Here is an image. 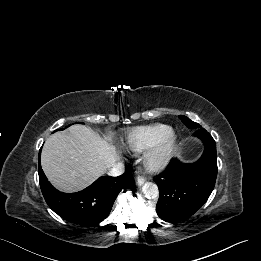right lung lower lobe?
I'll return each mask as SVG.
<instances>
[{
	"label": "right lung lower lobe",
	"mask_w": 261,
	"mask_h": 261,
	"mask_svg": "<svg viewBox=\"0 0 261 261\" xmlns=\"http://www.w3.org/2000/svg\"><path fill=\"white\" fill-rule=\"evenodd\" d=\"M39 182L48 206L55 213L71 223L91 226L110 214L119 192L128 185L129 175L103 176L80 192L62 193L47 181L39 156Z\"/></svg>",
	"instance_id": "right-lung-lower-lobe-1"
}]
</instances>
